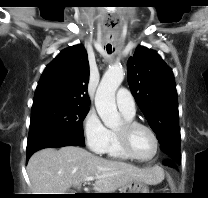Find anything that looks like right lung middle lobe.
<instances>
[{"label": "right lung middle lobe", "mask_w": 208, "mask_h": 198, "mask_svg": "<svg viewBox=\"0 0 208 198\" xmlns=\"http://www.w3.org/2000/svg\"><path fill=\"white\" fill-rule=\"evenodd\" d=\"M88 111V105L74 103H51L33 107L28 139L59 132L84 141L83 120Z\"/></svg>", "instance_id": "obj_1"}]
</instances>
